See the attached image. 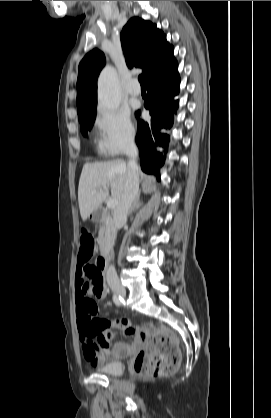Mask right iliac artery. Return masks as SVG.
<instances>
[{
    "label": "right iliac artery",
    "mask_w": 271,
    "mask_h": 418,
    "mask_svg": "<svg viewBox=\"0 0 271 418\" xmlns=\"http://www.w3.org/2000/svg\"><path fill=\"white\" fill-rule=\"evenodd\" d=\"M113 302L115 303V305L121 306L122 303H123V300H122V298L120 296L114 294L113 295Z\"/></svg>",
    "instance_id": "82829eb1"
}]
</instances>
